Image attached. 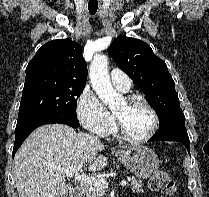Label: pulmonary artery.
Instances as JSON below:
<instances>
[{
	"instance_id": "pulmonary-artery-1",
	"label": "pulmonary artery",
	"mask_w": 209,
	"mask_h": 197,
	"mask_svg": "<svg viewBox=\"0 0 209 197\" xmlns=\"http://www.w3.org/2000/svg\"><path fill=\"white\" fill-rule=\"evenodd\" d=\"M110 78L113 86L122 92H127L131 87L129 76L119 69L111 70Z\"/></svg>"
}]
</instances>
